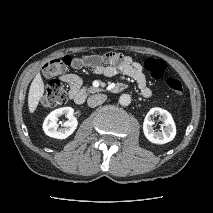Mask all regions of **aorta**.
Returning <instances> with one entry per match:
<instances>
[{
  "label": "aorta",
  "mask_w": 213,
  "mask_h": 213,
  "mask_svg": "<svg viewBox=\"0 0 213 213\" xmlns=\"http://www.w3.org/2000/svg\"><path fill=\"white\" fill-rule=\"evenodd\" d=\"M119 103L122 106H128L131 103V97L128 94H122L119 98Z\"/></svg>",
  "instance_id": "762f6f07"
}]
</instances>
